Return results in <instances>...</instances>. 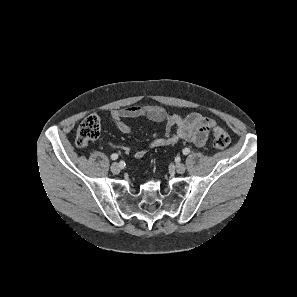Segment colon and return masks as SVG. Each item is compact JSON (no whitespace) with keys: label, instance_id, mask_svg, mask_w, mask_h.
Masks as SVG:
<instances>
[{"label":"colon","instance_id":"1","mask_svg":"<svg viewBox=\"0 0 297 297\" xmlns=\"http://www.w3.org/2000/svg\"><path fill=\"white\" fill-rule=\"evenodd\" d=\"M100 128V118L97 115L86 117L77 129L76 145L79 148L86 147L99 136ZM212 143L216 149H225L230 143L228 132L221 126H215L212 130Z\"/></svg>","mask_w":297,"mask_h":297}]
</instances>
